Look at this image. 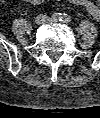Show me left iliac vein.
Returning <instances> with one entry per match:
<instances>
[{
  "label": "left iliac vein",
  "mask_w": 100,
  "mask_h": 118,
  "mask_svg": "<svg viewBox=\"0 0 100 118\" xmlns=\"http://www.w3.org/2000/svg\"><path fill=\"white\" fill-rule=\"evenodd\" d=\"M49 23H54L55 21L51 18L48 20Z\"/></svg>",
  "instance_id": "obj_1"
}]
</instances>
